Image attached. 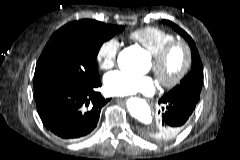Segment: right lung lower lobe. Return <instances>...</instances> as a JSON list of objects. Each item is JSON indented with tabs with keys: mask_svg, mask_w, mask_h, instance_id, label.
I'll use <instances>...</instances> for the list:
<instances>
[{
	"mask_svg": "<svg viewBox=\"0 0 240 160\" xmlns=\"http://www.w3.org/2000/svg\"><path fill=\"white\" fill-rule=\"evenodd\" d=\"M73 88L53 82L34 91L36 106L44 126L63 139L77 140L96 127L101 108L110 100L104 99L97 88Z\"/></svg>",
	"mask_w": 240,
	"mask_h": 160,
	"instance_id": "98d812e1",
	"label": "right lung lower lobe"
}]
</instances>
